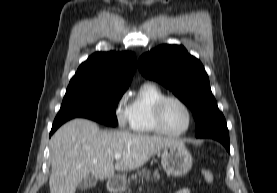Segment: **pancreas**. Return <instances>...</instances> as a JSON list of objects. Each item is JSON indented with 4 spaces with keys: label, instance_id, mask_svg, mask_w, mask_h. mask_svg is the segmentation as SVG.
Instances as JSON below:
<instances>
[{
    "label": "pancreas",
    "instance_id": "cf45deb5",
    "mask_svg": "<svg viewBox=\"0 0 277 193\" xmlns=\"http://www.w3.org/2000/svg\"><path fill=\"white\" fill-rule=\"evenodd\" d=\"M142 178V179H145V180H159L160 179V174L158 172V170H154V171H151L149 169H146V168H142L140 170H137V172L135 174H132L129 179H128V184L130 185V183L132 181H135L137 182V179L138 178ZM129 189V187H128Z\"/></svg>",
    "mask_w": 277,
    "mask_h": 193
}]
</instances>
